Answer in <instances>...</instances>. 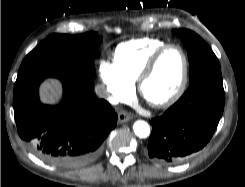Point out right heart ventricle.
Wrapping results in <instances>:
<instances>
[{
  "mask_svg": "<svg viewBox=\"0 0 245 187\" xmlns=\"http://www.w3.org/2000/svg\"><path fill=\"white\" fill-rule=\"evenodd\" d=\"M166 44L167 42L158 38L132 39L116 47L113 61L121 75L134 84L148 59Z\"/></svg>",
  "mask_w": 245,
  "mask_h": 187,
  "instance_id": "right-heart-ventricle-1",
  "label": "right heart ventricle"
}]
</instances>
